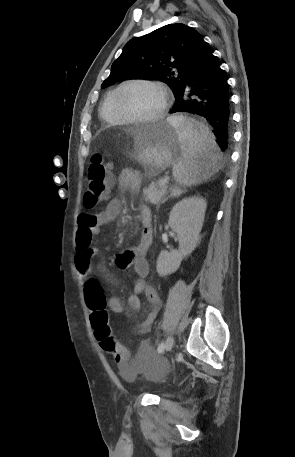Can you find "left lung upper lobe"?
Masks as SVG:
<instances>
[{
  "label": "left lung upper lobe",
  "mask_w": 295,
  "mask_h": 457,
  "mask_svg": "<svg viewBox=\"0 0 295 457\" xmlns=\"http://www.w3.org/2000/svg\"><path fill=\"white\" fill-rule=\"evenodd\" d=\"M203 41L198 31L181 23L168 24L134 38L113 62L111 73L101 87L127 79L159 80L166 83L175 96L183 84L189 62Z\"/></svg>",
  "instance_id": "obj_1"
}]
</instances>
